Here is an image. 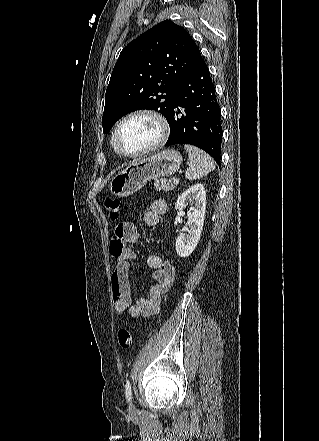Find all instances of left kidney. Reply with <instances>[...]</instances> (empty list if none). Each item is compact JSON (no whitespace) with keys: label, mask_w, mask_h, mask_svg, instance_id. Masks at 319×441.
Segmentation results:
<instances>
[{"label":"left kidney","mask_w":319,"mask_h":441,"mask_svg":"<svg viewBox=\"0 0 319 441\" xmlns=\"http://www.w3.org/2000/svg\"><path fill=\"white\" fill-rule=\"evenodd\" d=\"M188 202L192 203L188 217V229L176 239L175 247L178 256L187 257L195 250L203 229L206 212V193L200 183L184 191L177 199L176 210L185 209Z\"/></svg>","instance_id":"1"}]
</instances>
